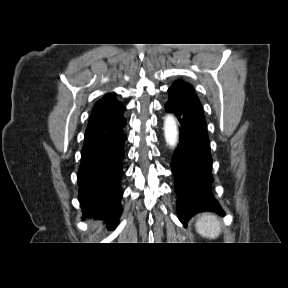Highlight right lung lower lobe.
Returning a JSON list of instances; mask_svg holds the SVG:
<instances>
[{
  "mask_svg": "<svg viewBox=\"0 0 288 288\" xmlns=\"http://www.w3.org/2000/svg\"><path fill=\"white\" fill-rule=\"evenodd\" d=\"M122 125L111 138L85 147L78 171V199L84 217L104 220L109 228L116 226L122 213L121 179L123 176L124 143Z\"/></svg>",
  "mask_w": 288,
  "mask_h": 288,
  "instance_id": "98d812e1",
  "label": "right lung lower lobe"
}]
</instances>
